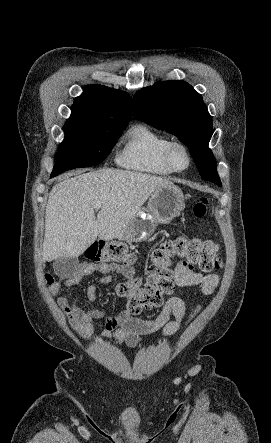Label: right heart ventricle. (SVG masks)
Returning a JSON list of instances; mask_svg holds the SVG:
<instances>
[{
  "mask_svg": "<svg viewBox=\"0 0 271 443\" xmlns=\"http://www.w3.org/2000/svg\"><path fill=\"white\" fill-rule=\"evenodd\" d=\"M170 140L168 135L148 124H137L125 133L117 162L122 167L140 172L171 175L174 171L164 157V150Z\"/></svg>",
  "mask_w": 271,
  "mask_h": 443,
  "instance_id": "right-heart-ventricle-1",
  "label": "right heart ventricle"
}]
</instances>
